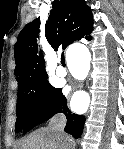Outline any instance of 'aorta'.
Here are the masks:
<instances>
[{
  "instance_id": "obj_1",
  "label": "aorta",
  "mask_w": 124,
  "mask_h": 149,
  "mask_svg": "<svg viewBox=\"0 0 124 149\" xmlns=\"http://www.w3.org/2000/svg\"><path fill=\"white\" fill-rule=\"evenodd\" d=\"M76 58L79 60H82L84 70H88L90 66V54L87 48L85 47H79L77 50Z\"/></svg>"
}]
</instances>
